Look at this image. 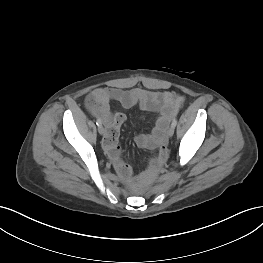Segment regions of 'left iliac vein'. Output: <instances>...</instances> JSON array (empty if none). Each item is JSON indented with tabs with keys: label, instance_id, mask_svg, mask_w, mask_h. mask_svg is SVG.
<instances>
[{
	"label": "left iliac vein",
	"instance_id": "left-iliac-vein-1",
	"mask_svg": "<svg viewBox=\"0 0 263 263\" xmlns=\"http://www.w3.org/2000/svg\"><path fill=\"white\" fill-rule=\"evenodd\" d=\"M174 134V127L171 125L167 131L168 137H172Z\"/></svg>",
	"mask_w": 263,
	"mask_h": 263
}]
</instances>
